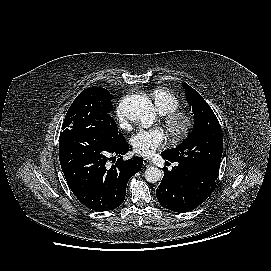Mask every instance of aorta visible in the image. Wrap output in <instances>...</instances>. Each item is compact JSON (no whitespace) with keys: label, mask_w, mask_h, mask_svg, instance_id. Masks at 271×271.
<instances>
[{"label":"aorta","mask_w":271,"mask_h":271,"mask_svg":"<svg viewBox=\"0 0 271 271\" xmlns=\"http://www.w3.org/2000/svg\"><path fill=\"white\" fill-rule=\"evenodd\" d=\"M126 117L143 127H149L155 120V109L151 100L145 95H132L126 100ZM145 179L150 183H155L162 178L159 168L151 166L145 170Z\"/></svg>","instance_id":"aorta-1"}]
</instances>
